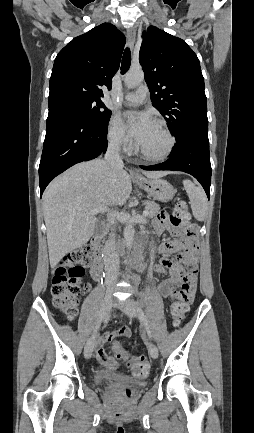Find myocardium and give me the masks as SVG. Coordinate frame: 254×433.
I'll use <instances>...</instances> for the list:
<instances>
[{
    "instance_id": "obj_1",
    "label": "myocardium",
    "mask_w": 254,
    "mask_h": 433,
    "mask_svg": "<svg viewBox=\"0 0 254 433\" xmlns=\"http://www.w3.org/2000/svg\"><path fill=\"white\" fill-rule=\"evenodd\" d=\"M154 123L157 124L162 129V131L165 133V135L168 138V146L166 150L159 155H151L146 151H144L139 145L137 146V150L145 160L159 162L167 159L172 154L176 146V139L173 133L171 132V130L169 129V127L167 126V124L163 120L157 119L154 121Z\"/></svg>"
}]
</instances>
